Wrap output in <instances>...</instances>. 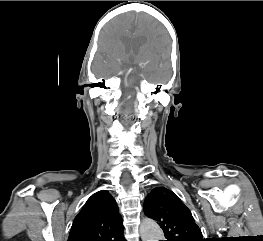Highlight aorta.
<instances>
[{"label": "aorta", "mask_w": 263, "mask_h": 241, "mask_svg": "<svg viewBox=\"0 0 263 241\" xmlns=\"http://www.w3.org/2000/svg\"><path fill=\"white\" fill-rule=\"evenodd\" d=\"M140 235L142 241H161L164 239V235L157 223L148 218L144 219L140 225Z\"/></svg>", "instance_id": "762f6f07"}]
</instances>
